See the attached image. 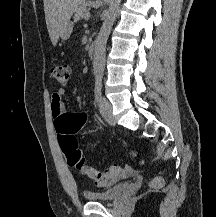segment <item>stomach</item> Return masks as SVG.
<instances>
[{
  "mask_svg": "<svg viewBox=\"0 0 216 217\" xmlns=\"http://www.w3.org/2000/svg\"><path fill=\"white\" fill-rule=\"evenodd\" d=\"M72 29H73V23L69 22L64 29L62 30V32L60 33V37L62 38V40H67L71 33H72Z\"/></svg>",
  "mask_w": 216,
  "mask_h": 217,
  "instance_id": "1",
  "label": "stomach"
}]
</instances>
